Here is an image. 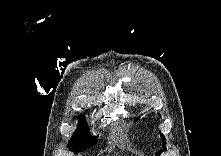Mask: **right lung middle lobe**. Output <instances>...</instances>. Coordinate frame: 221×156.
Masks as SVG:
<instances>
[{
    "mask_svg": "<svg viewBox=\"0 0 221 156\" xmlns=\"http://www.w3.org/2000/svg\"><path fill=\"white\" fill-rule=\"evenodd\" d=\"M84 120V117H80L79 127L67 145L68 149L71 151H82L97 143L98 137L89 136L88 128L84 125Z\"/></svg>",
    "mask_w": 221,
    "mask_h": 156,
    "instance_id": "dd1d6c3e",
    "label": "right lung middle lobe"
}]
</instances>
